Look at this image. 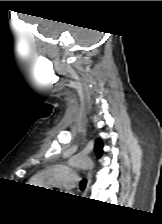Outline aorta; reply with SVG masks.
<instances>
[{
    "instance_id": "1",
    "label": "aorta",
    "mask_w": 162,
    "mask_h": 224,
    "mask_svg": "<svg viewBox=\"0 0 162 224\" xmlns=\"http://www.w3.org/2000/svg\"><path fill=\"white\" fill-rule=\"evenodd\" d=\"M69 165L75 168H81V169H92L94 167L93 161L82 154H77L71 157L68 161Z\"/></svg>"
}]
</instances>
